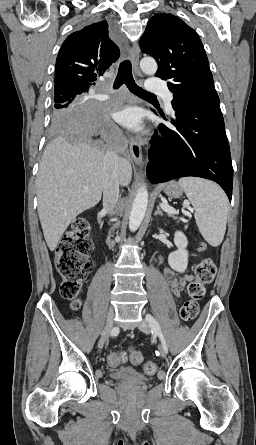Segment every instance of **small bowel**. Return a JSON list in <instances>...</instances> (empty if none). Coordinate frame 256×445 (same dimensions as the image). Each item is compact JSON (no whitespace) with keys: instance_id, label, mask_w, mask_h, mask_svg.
Returning a JSON list of instances; mask_svg holds the SVG:
<instances>
[{"instance_id":"small-bowel-1","label":"small bowel","mask_w":256,"mask_h":445,"mask_svg":"<svg viewBox=\"0 0 256 445\" xmlns=\"http://www.w3.org/2000/svg\"><path fill=\"white\" fill-rule=\"evenodd\" d=\"M164 275L166 278V283L175 298H178L184 291L186 282L192 280L193 278L191 275L177 274L168 267L165 268Z\"/></svg>"}]
</instances>
